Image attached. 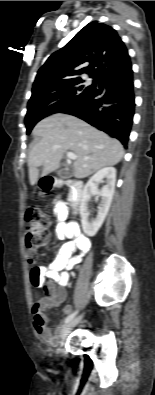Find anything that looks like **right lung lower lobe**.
Segmentation results:
<instances>
[{
  "label": "right lung lower lobe",
  "mask_w": 155,
  "mask_h": 395,
  "mask_svg": "<svg viewBox=\"0 0 155 395\" xmlns=\"http://www.w3.org/2000/svg\"><path fill=\"white\" fill-rule=\"evenodd\" d=\"M134 109L135 93L131 65L104 75L99 80L98 89L62 112L81 118L117 138L126 148Z\"/></svg>",
  "instance_id": "1"
}]
</instances>
